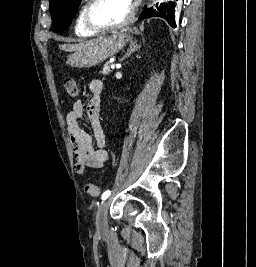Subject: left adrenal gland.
Here are the masks:
<instances>
[{"label":"left adrenal gland","instance_id":"obj_1","mask_svg":"<svg viewBox=\"0 0 256 267\" xmlns=\"http://www.w3.org/2000/svg\"><path fill=\"white\" fill-rule=\"evenodd\" d=\"M140 46L137 44L136 40H130L129 44V50H127L125 56L119 60V62H123L125 58H129L130 54H133V52H136V50H139Z\"/></svg>","mask_w":256,"mask_h":267}]
</instances>
